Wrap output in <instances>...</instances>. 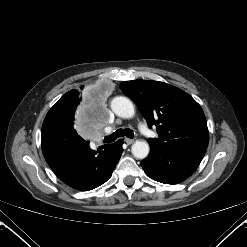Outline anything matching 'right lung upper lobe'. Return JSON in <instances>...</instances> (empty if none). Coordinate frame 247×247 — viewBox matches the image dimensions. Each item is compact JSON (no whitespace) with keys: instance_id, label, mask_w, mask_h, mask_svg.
Wrapping results in <instances>:
<instances>
[{"instance_id":"cb5924a9","label":"right lung upper lobe","mask_w":247,"mask_h":247,"mask_svg":"<svg viewBox=\"0 0 247 247\" xmlns=\"http://www.w3.org/2000/svg\"><path fill=\"white\" fill-rule=\"evenodd\" d=\"M80 92L77 90H71L67 92L63 97L60 98L59 101L66 100V99H78Z\"/></svg>"}]
</instances>
